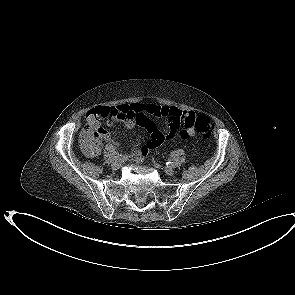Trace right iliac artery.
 I'll use <instances>...</instances> for the list:
<instances>
[{"instance_id": "obj_1", "label": "right iliac artery", "mask_w": 295, "mask_h": 295, "mask_svg": "<svg viewBox=\"0 0 295 295\" xmlns=\"http://www.w3.org/2000/svg\"><path fill=\"white\" fill-rule=\"evenodd\" d=\"M123 159H125V156H122V155L114 156V158H113V160H115V161H120Z\"/></svg>"}]
</instances>
